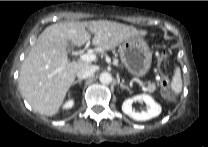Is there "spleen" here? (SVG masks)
<instances>
[{
  "label": "spleen",
  "instance_id": "obj_1",
  "mask_svg": "<svg viewBox=\"0 0 208 147\" xmlns=\"http://www.w3.org/2000/svg\"><path fill=\"white\" fill-rule=\"evenodd\" d=\"M182 86L181 70L179 67H176L171 81V89L175 94H180Z\"/></svg>",
  "mask_w": 208,
  "mask_h": 147
}]
</instances>
